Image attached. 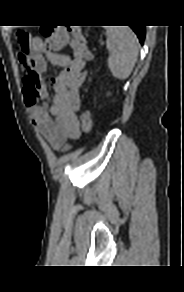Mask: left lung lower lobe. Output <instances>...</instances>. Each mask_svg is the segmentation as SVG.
I'll list each match as a JSON object with an SVG mask.
<instances>
[{"label": "left lung lower lobe", "mask_w": 184, "mask_h": 292, "mask_svg": "<svg viewBox=\"0 0 184 292\" xmlns=\"http://www.w3.org/2000/svg\"><path fill=\"white\" fill-rule=\"evenodd\" d=\"M134 32L137 34L139 41L141 44L144 42V37H145V28L144 26H130Z\"/></svg>", "instance_id": "left-lung-lower-lobe-1"}]
</instances>
